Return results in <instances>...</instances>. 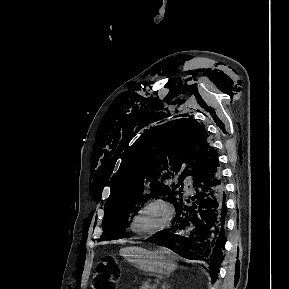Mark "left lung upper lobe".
<instances>
[{
	"label": "left lung upper lobe",
	"instance_id": "left-lung-upper-lobe-1",
	"mask_svg": "<svg viewBox=\"0 0 289 289\" xmlns=\"http://www.w3.org/2000/svg\"><path fill=\"white\" fill-rule=\"evenodd\" d=\"M215 149L205 128L191 118L154 127L139 137L111 179L99 241L121 239L125 228L149 198L161 196L174 204L183 195V181L194 177Z\"/></svg>",
	"mask_w": 289,
	"mask_h": 289
}]
</instances>
